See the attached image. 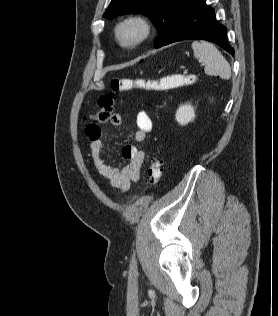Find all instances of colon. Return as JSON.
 <instances>
[{
  "label": "colon",
  "instance_id": "colon-1",
  "mask_svg": "<svg viewBox=\"0 0 278 316\" xmlns=\"http://www.w3.org/2000/svg\"><path fill=\"white\" fill-rule=\"evenodd\" d=\"M196 78L194 75L170 76L161 81L147 79H113L110 83L111 92L102 94L98 99V110L87 115L90 124L88 127H99V124L108 122L115 107V94L126 92L132 89H141L146 91L160 90L166 86L172 85H192ZM163 164L160 160H154L147 170V180L150 185H157L162 177Z\"/></svg>",
  "mask_w": 278,
  "mask_h": 316
}]
</instances>
